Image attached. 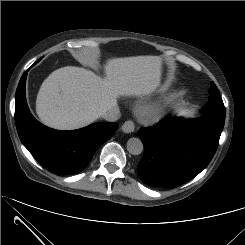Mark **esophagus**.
Instances as JSON below:
<instances>
[{
    "mask_svg": "<svg viewBox=\"0 0 245 245\" xmlns=\"http://www.w3.org/2000/svg\"><path fill=\"white\" fill-rule=\"evenodd\" d=\"M121 129L125 133H131L135 129V123L132 120H128L122 125Z\"/></svg>",
    "mask_w": 245,
    "mask_h": 245,
    "instance_id": "esophagus-1",
    "label": "esophagus"
}]
</instances>
